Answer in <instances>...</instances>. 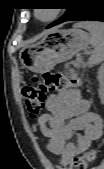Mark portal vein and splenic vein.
I'll return each instance as SVG.
<instances>
[{"mask_svg":"<svg viewBox=\"0 0 104 169\" xmlns=\"http://www.w3.org/2000/svg\"><path fill=\"white\" fill-rule=\"evenodd\" d=\"M76 61H77V62H81V58L78 57Z\"/></svg>","mask_w":104,"mask_h":169,"instance_id":"portal-vein-and-splenic-vein-1","label":"portal vein and splenic vein"}]
</instances>
